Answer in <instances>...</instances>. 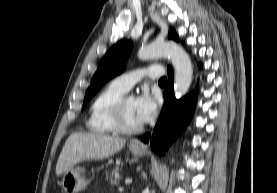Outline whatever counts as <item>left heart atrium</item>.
Segmentation results:
<instances>
[{"label": "left heart atrium", "instance_id": "1", "mask_svg": "<svg viewBox=\"0 0 277 193\" xmlns=\"http://www.w3.org/2000/svg\"><path fill=\"white\" fill-rule=\"evenodd\" d=\"M135 114L140 123H145L154 118L157 112V100L148 91H143L135 99Z\"/></svg>", "mask_w": 277, "mask_h": 193}]
</instances>
